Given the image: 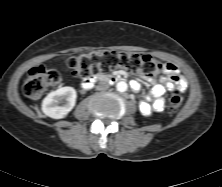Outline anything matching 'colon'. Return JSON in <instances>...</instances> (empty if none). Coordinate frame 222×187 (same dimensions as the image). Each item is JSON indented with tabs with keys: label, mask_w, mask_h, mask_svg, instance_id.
I'll return each instance as SVG.
<instances>
[{
	"label": "colon",
	"mask_w": 222,
	"mask_h": 187,
	"mask_svg": "<svg viewBox=\"0 0 222 187\" xmlns=\"http://www.w3.org/2000/svg\"><path fill=\"white\" fill-rule=\"evenodd\" d=\"M68 66L83 80H89L99 74H107L121 68L130 73L153 76L164 69V65L156 58L138 53L103 51L91 52L72 57L68 60ZM61 75L44 66H36L28 74L24 84V94L30 100H38L42 95L61 84ZM183 102L179 92H173L168 96L167 109L176 113Z\"/></svg>",
	"instance_id": "5ec220e1"
}]
</instances>
